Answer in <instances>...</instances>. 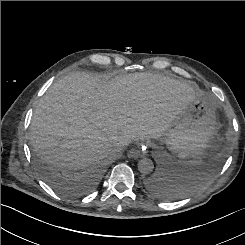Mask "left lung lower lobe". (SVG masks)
Returning a JSON list of instances; mask_svg holds the SVG:
<instances>
[{
	"instance_id": "obj_1",
	"label": "left lung lower lobe",
	"mask_w": 245,
	"mask_h": 245,
	"mask_svg": "<svg viewBox=\"0 0 245 245\" xmlns=\"http://www.w3.org/2000/svg\"><path fill=\"white\" fill-rule=\"evenodd\" d=\"M171 176L167 173L161 175H154L145 180L146 189L153 195L160 198H169L173 195H179L181 193V187L179 183L169 179Z\"/></svg>"
}]
</instances>
